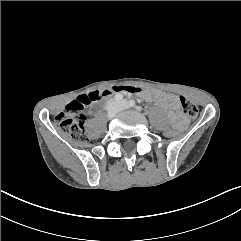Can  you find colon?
<instances>
[{
  "label": "colon",
  "instance_id": "5ec220e1",
  "mask_svg": "<svg viewBox=\"0 0 241 241\" xmlns=\"http://www.w3.org/2000/svg\"><path fill=\"white\" fill-rule=\"evenodd\" d=\"M113 92H125V93H142L143 89L133 86H120L99 91L91 92L87 95H82L76 100L69 103L66 107V111L60 112L56 115L55 119L64 133L70 135L76 141H85V122L86 116L84 114L85 107L91 102L101 100L102 98L110 95ZM179 104L184 115L190 119H194L198 116V108L192 104L185 97L180 96L178 98ZM177 129L167 130L163 133L165 140H171L178 136Z\"/></svg>",
  "mask_w": 241,
  "mask_h": 241
}]
</instances>
